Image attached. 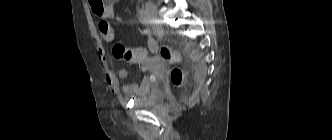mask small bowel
Wrapping results in <instances>:
<instances>
[{
    "instance_id": "1",
    "label": "small bowel",
    "mask_w": 332,
    "mask_h": 140,
    "mask_svg": "<svg viewBox=\"0 0 332 140\" xmlns=\"http://www.w3.org/2000/svg\"><path fill=\"white\" fill-rule=\"evenodd\" d=\"M119 0H110L109 4L107 5L105 11L102 14L103 18H112L114 15V4L118 2ZM101 38L106 42H111L115 38V33ZM151 50H155V43L151 42L150 44ZM148 58V51L145 49V56L138 61L137 63L142 66L143 69L146 68ZM103 71L105 74V81L107 85L110 87V89L114 92L119 90V80H125L128 77V71L124 68L120 69L117 73V77L112 73L111 69L109 68L107 61L105 59H101ZM150 89V80L147 77H143L142 81L138 83H128L124 84L121 87V90L126 95H137L141 96L146 94Z\"/></svg>"
}]
</instances>
